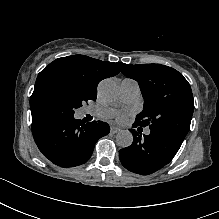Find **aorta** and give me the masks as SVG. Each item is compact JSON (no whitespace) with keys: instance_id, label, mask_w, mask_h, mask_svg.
Masks as SVG:
<instances>
[{"instance_id":"obj_1","label":"aorta","mask_w":219,"mask_h":219,"mask_svg":"<svg viewBox=\"0 0 219 219\" xmlns=\"http://www.w3.org/2000/svg\"><path fill=\"white\" fill-rule=\"evenodd\" d=\"M98 94L100 99L104 102L112 103L116 101L119 97L116 82L111 79L101 81L98 87ZM116 142L122 148L129 147L133 142V135L128 130H121L117 133Z\"/></svg>"}]
</instances>
